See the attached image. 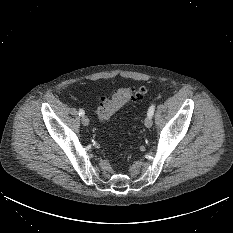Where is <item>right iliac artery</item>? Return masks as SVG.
I'll return each instance as SVG.
<instances>
[{
  "mask_svg": "<svg viewBox=\"0 0 233 233\" xmlns=\"http://www.w3.org/2000/svg\"><path fill=\"white\" fill-rule=\"evenodd\" d=\"M84 115H85L84 110H83V109H80V110H79V116H84Z\"/></svg>",
  "mask_w": 233,
  "mask_h": 233,
  "instance_id": "right-iliac-artery-1",
  "label": "right iliac artery"
}]
</instances>
